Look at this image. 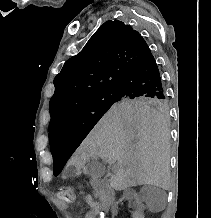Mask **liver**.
<instances>
[{
    "mask_svg": "<svg viewBox=\"0 0 211 218\" xmlns=\"http://www.w3.org/2000/svg\"><path fill=\"white\" fill-rule=\"evenodd\" d=\"M97 156L109 164L117 162L114 190L142 184L169 190V130L157 110L114 104L83 140L71 164L84 172L85 162Z\"/></svg>",
    "mask_w": 211,
    "mask_h": 218,
    "instance_id": "obj_1",
    "label": "liver"
}]
</instances>
